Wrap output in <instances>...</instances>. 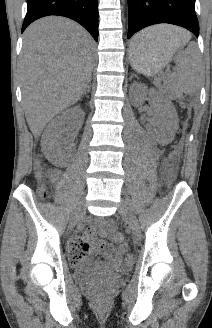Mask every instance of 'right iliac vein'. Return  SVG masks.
Listing matches in <instances>:
<instances>
[{
  "label": "right iliac vein",
  "instance_id": "right-iliac-vein-1",
  "mask_svg": "<svg viewBox=\"0 0 212 328\" xmlns=\"http://www.w3.org/2000/svg\"><path fill=\"white\" fill-rule=\"evenodd\" d=\"M84 212V203L82 202L80 204V206L78 207L76 213H75V216L71 222V228H73L75 226V224L78 222L79 218L82 216Z\"/></svg>",
  "mask_w": 212,
  "mask_h": 328
}]
</instances>
